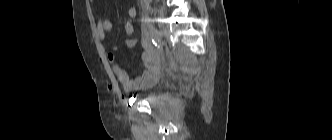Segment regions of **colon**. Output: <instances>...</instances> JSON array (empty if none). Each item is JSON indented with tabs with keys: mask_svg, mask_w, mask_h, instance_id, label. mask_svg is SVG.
<instances>
[{
	"mask_svg": "<svg viewBox=\"0 0 332 140\" xmlns=\"http://www.w3.org/2000/svg\"><path fill=\"white\" fill-rule=\"evenodd\" d=\"M123 28L126 36L130 37L134 34V26L130 21H125Z\"/></svg>",
	"mask_w": 332,
	"mask_h": 140,
	"instance_id": "5ec220e1",
	"label": "colon"
}]
</instances>
